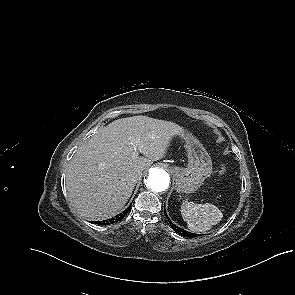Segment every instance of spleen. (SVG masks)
Instances as JSON below:
<instances>
[{"label":"spleen","mask_w":295,"mask_h":295,"mask_svg":"<svg viewBox=\"0 0 295 295\" xmlns=\"http://www.w3.org/2000/svg\"><path fill=\"white\" fill-rule=\"evenodd\" d=\"M181 215L188 228L193 232H204L218 224L222 217V211L215 205L205 203L183 202Z\"/></svg>","instance_id":"3e777b00"}]
</instances>
